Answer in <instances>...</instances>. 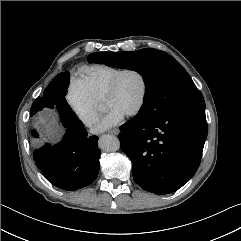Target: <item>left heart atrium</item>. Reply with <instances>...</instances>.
Returning <instances> with one entry per match:
<instances>
[{"label":"left heart atrium","instance_id":"obj_1","mask_svg":"<svg viewBox=\"0 0 241 241\" xmlns=\"http://www.w3.org/2000/svg\"><path fill=\"white\" fill-rule=\"evenodd\" d=\"M125 114L116 108H109L102 118L100 123L94 129L95 132L106 131L119 123L124 119Z\"/></svg>","mask_w":241,"mask_h":241}]
</instances>
